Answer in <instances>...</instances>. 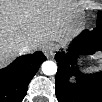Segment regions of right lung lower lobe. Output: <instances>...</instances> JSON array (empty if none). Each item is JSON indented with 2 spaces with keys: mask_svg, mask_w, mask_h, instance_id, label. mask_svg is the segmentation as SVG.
<instances>
[{
  "mask_svg": "<svg viewBox=\"0 0 102 102\" xmlns=\"http://www.w3.org/2000/svg\"><path fill=\"white\" fill-rule=\"evenodd\" d=\"M46 57L41 51L23 55L0 70V94L3 102H20L28 84Z\"/></svg>",
  "mask_w": 102,
  "mask_h": 102,
  "instance_id": "98d812e1",
  "label": "right lung lower lobe"
}]
</instances>
